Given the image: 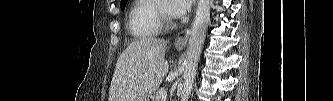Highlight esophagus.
Returning <instances> with one entry per match:
<instances>
[{
    "label": "esophagus",
    "instance_id": "1",
    "mask_svg": "<svg viewBox=\"0 0 333 101\" xmlns=\"http://www.w3.org/2000/svg\"><path fill=\"white\" fill-rule=\"evenodd\" d=\"M189 36H190L189 30H184V31L180 32L174 40V45L176 47L186 46L187 42L189 40Z\"/></svg>",
    "mask_w": 333,
    "mask_h": 101
}]
</instances>
